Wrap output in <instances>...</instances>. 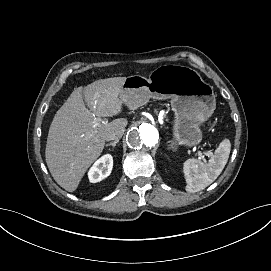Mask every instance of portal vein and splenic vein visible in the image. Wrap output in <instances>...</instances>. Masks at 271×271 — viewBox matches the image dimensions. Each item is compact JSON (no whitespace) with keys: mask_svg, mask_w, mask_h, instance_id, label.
I'll return each instance as SVG.
<instances>
[{"mask_svg":"<svg viewBox=\"0 0 271 271\" xmlns=\"http://www.w3.org/2000/svg\"><path fill=\"white\" fill-rule=\"evenodd\" d=\"M202 154H203V155H215V152H206V151H202ZM202 154H201L200 158L204 160L205 158L202 156Z\"/></svg>","mask_w":271,"mask_h":271,"instance_id":"18ae733b","label":"portal vein and splenic vein"}]
</instances>
